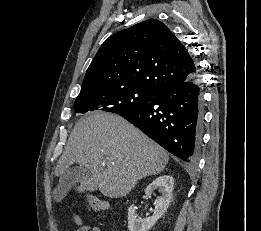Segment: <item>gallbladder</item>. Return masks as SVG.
<instances>
[{
    "label": "gallbladder",
    "mask_w": 261,
    "mask_h": 231,
    "mask_svg": "<svg viewBox=\"0 0 261 231\" xmlns=\"http://www.w3.org/2000/svg\"><path fill=\"white\" fill-rule=\"evenodd\" d=\"M86 177H91V173L86 167L75 166L69 168L59 179L58 188L53 192L54 199L57 201L62 200L74 185Z\"/></svg>",
    "instance_id": "obj_1"
}]
</instances>
